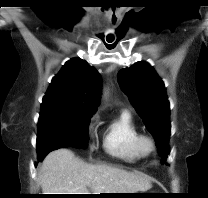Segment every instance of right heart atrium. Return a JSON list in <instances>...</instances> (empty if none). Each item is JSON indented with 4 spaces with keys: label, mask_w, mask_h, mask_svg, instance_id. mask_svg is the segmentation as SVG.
<instances>
[{
    "label": "right heart atrium",
    "mask_w": 208,
    "mask_h": 198,
    "mask_svg": "<svg viewBox=\"0 0 208 198\" xmlns=\"http://www.w3.org/2000/svg\"><path fill=\"white\" fill-rule=\"evenodd\" d=\"M96 119H97L96 116L92 117L89 124H88V132H89L90 135L93 134Z\"/></svg>",
    "instance_id": "d8ad5b80"
}]
</instances>
